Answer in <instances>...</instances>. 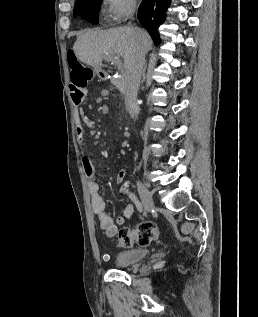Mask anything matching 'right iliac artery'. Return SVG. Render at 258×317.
<instances>
[{
	"mask_svg": "<svg viewBox=\"0 0 258 317\" xmlns=\"http://www.w3.org/2000/svg\"><path fill=\"white\" fill-rule=\"evenodd\" d=\"M130 198L135 203L138 211L141 213L143 211V207H142V204H141L139 198L137 197V195L134 193H131Z\"/></svg>",
	"mask_w": 258,
	"mask_h": 317,
	"instance_id": "82829eb1",
	"label": "right iliac artery"
}]
</instances>
